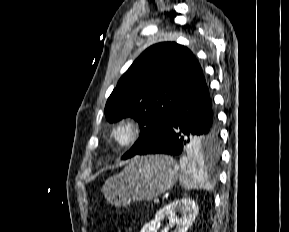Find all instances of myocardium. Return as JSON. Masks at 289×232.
Masks as SVG:
<instances>
[{
	"label": "myocardium",
	"mask_w": 289,
	"mask_h": 232,
	"mask_svg": "<svg viewBox=\"0 0 289 232\" xmlns=\"http://www.w3.org/2000/svg\"><path fill=\"white\" fill-rule=\"evenodd\" d=\"M121 132H125L124 137H120ZM142 132V126L137 120L131 117H124L115 121L110 135L115 143L122 147H128L140 139Z\"/></svg>",
	"instance_id": "obj_1"
}]
</instances>
